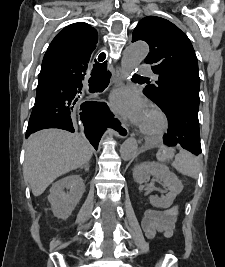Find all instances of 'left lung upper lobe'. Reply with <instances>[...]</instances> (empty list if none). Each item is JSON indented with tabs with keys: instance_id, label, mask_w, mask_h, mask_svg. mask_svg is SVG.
<instances>
[{
	"instance_id": "1",
	"label": "left lung upper lobe",
	"mask_w": 225,
	"mask_h": 267,
	"mask_svg": "<svg viewBox=\"0 0 225 267\" xmlns=\"http://www.w3.org/2000/svg\"><path fill=\"white\" fill-rule=\"evenodd\" d=\"M144 40L150 47L145 58L147 64L158 74L156 85H148L144 94L162 111L167 109L168 101L184 87L199 90L200 78L198 62L188 37L170 21L148 16L135 27L132 42Z\"/></svg>"
}]
</instances>
